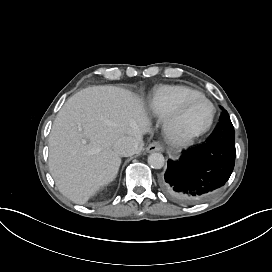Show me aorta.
I'll return each mask as SVG.
<instances>
[{
	"mask_svg": "<svg viewBox=\"0 0 272 272\" xmlns=\"http://www.w3.org/2000/svg\"><path fill=\"white\" fill-rule=\"evenodd\" d=\"M165 163L164 156L161 153L155 152L148 157V164L153 169L163 168Z\"/></svg>",
	"mask_w": 272,
	"mask_h": 272,
	"instance_id": "1",
	"label": "aorta"
}]
</instances>
